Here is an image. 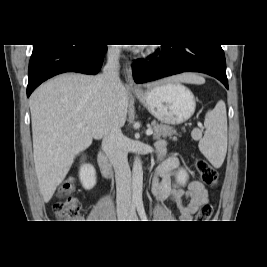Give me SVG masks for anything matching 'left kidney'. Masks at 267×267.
Returning <instances> with one entry per match:
<instances>
[{
  "label": "left kidney",
  "instance_id": "obj_1",
  "mask_svg": "<svg viewBox=\"0 0 267 267\" xmlns=\"http://www.w3.org/2000/svg\"><path fill=\"white\" fill-rule=\"evenodd\" d=\"M188 179V174L186 170L180 169L177 176H176V181L180 184H184Z\"/></svg>",
  "mask_w": 267,
  "mask_h": 267
}]
</instances>
